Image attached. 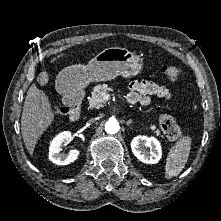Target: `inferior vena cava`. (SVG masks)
I'll return each instance as SVG.
<instances>
[{"label":"inferior vena cava","mask_w":221,"mask_h":221,"mask_svg":"<svg viewBox=\"0 0 221 221\" xmlns=\"http://www.w3.org/2000/svg\"><path fill=\"white\" fill-rule=\"evenodd\" d=\"M89 122H90V123L94 122V119H90Z\"/></svg>","instance_id":"602c4592"}]
</instances>
